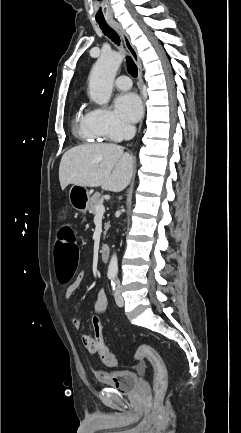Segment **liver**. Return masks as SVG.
Segmentation results:
<instances>
[{
    "label": "liver",
    "mask_w": 241,
    "mask_h": 433,
    "mask_svg": "<svg viewBox=\"0 0 241 433\" xmlns=\"http://www.w3.org/2000/svg\"><path fill=\"white\" fill-rule=\"evenodd\" d=\"M134 158L113 143L86 144L71 148L61 158L59 181L64 190L69 184L123 191L133 175Z\"/></svg>",
    "instance_id": "6515ba94"
}]
</instances>
